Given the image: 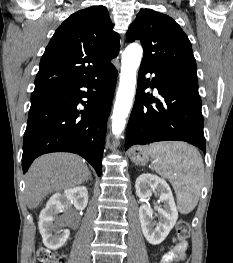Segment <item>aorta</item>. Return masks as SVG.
<instances>
[{"instance_id":"aorta-1","label":"aorta","mask_w":233,"mask_h":263,"mask_svg":"<svg viewBox=\"0 0 233 263\" xmlns=\"http://www.w3.org/2000/svg\"><path fill=\"white\" fill-rule=\"evenodd\" d=\"M143 50L138 44H130L122 54L120 83L112 115V133L119 136L130 112L136 85V73Z\"/></svg>"}]
</instances>
